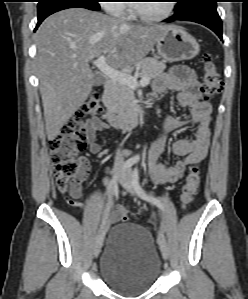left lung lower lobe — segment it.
<instances>
[{"label": "left lung lower lobe", "instance_id": "obj_1", "mask_svg": "<svg viewBox=\"0 0 248 299\" xmlns=\"http://www.w3.org/2000/svg\"><path fill=\"white\" fill-rule=\"evenodd\" d=\"M216 3H204L198 6L190 7L187 11L181 10L179 6L175 7V14L164 20L172 22L175 20H184L200 23L214 31L222 40V22L216 10Z\"/></svg>", "mask_w": 248, "mask_h": 299}]
</instances>
